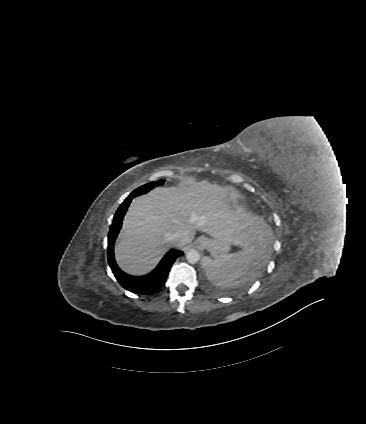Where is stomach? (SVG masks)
<instances>
[{"label":"stomach","instance_id":"stomach-1","mask_svg":"<svg viewBox=\"0 0 366 424\" xmlns=\"http://www.w3.org/2000/svg\"><path fill=\"white\" fill-rule=\"evenodd\" d=\"M199 243L204 249H207L215 258H220L227 255V253L230 251L231 245L229 242H226L221 239H211L206 237H201L199 239Z\"/></svg>","mask_w":366,"mask_h":424}]
</instances>
